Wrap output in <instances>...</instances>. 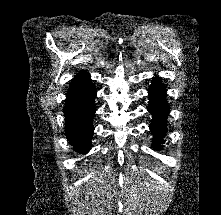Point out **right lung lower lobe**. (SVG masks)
<instances>
[{
    "label": "right lung lower lobe",
    "instance_id": "98d812e1",
    "mask_svg": "<svg viewBox=\"0 0 221 215\" xmlns=\"http://www.w3.org/2000/svg\"><path fill=\"white\" fill-rule=\"evenodd\" d=\"M95 97L96 91L89 74L81 71L72 80L64 106L65 134L79 153H86L90 149Z\"/></svg>",
    "mask_w": 221,
    "mask_h": 215
}]
</instances>
